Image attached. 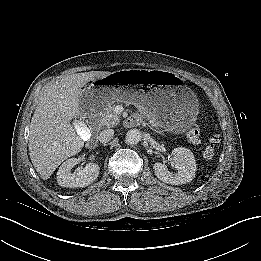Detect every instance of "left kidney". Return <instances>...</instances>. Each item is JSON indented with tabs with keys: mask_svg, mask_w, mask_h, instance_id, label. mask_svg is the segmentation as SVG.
Listing matches in <instances>:
<instances>
[{
	"mask_svg": "<svg viewBox=\"0 0 261 261\" xmlns=\"http://www.w3.org/2000/svg\"><path fill=\"white\" fill-rule=\"evenodd\" d=\"M172 154L174 156V167L178 171L171 172L165 164L156 162L153 169L157 178L172 185L191 182L197 169L193 153L189 149L178 147L173 149Z\"/></svg>",
	"mask_w": 261,
	"mask_h": 261,
	"instance_id": "5707ae66",
	"label": "left kidney"
}]
</instances>
